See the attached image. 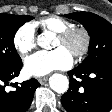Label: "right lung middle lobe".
<instances>
[{"instance_id":"obj_1","label":"right lung middle lobe","mask_w":112,"mask_h":112,"mask_svg":"<svg viewBox=\"0 0 112 112\" xmlns=\"http://www.w3.org/2000/svg\"><path fill=\"white\" fill-rule=\"evenodd\" d=\"M32 16L0 14V73L21 60L14 46L16 31Z\"/></svg>"}]
</instances>
